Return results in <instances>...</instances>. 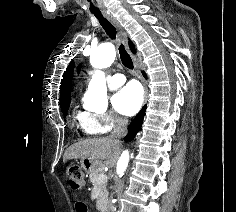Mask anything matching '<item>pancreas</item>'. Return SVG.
Masks as SVG:
<instances>
[{
	"instance_id": "obj_1",
	"label": "pancreas",
	"mask_w": 236,
	"mask_h": 212,
	"mask_svg": "<svg viewBox=\"0 0 236 212\" xmlns=\"http://www.w3.org/2000/svg\"><path fill=\"white\" fill-rule=\"evenodd\" d=\"M102 174L101 169H96L93 171L89 178L94 187L98 190V198H97V209L103 211L108 203V191L106 189V181H99L98 177Z\"/></svg>"
}]
</instances>
